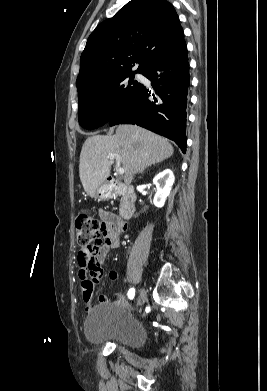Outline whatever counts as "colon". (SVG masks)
<instances>
[{"instance_id": "5ec220e1", "label": "colon", "mask_w": 267, "mask_h": 391, "mask_svg": "<svg viewBox=\"0 0 267 391\" xmlns=\"http://www.w3.org/2000/svg\"><path fill=\"white\" fill-rule=\"evenodd\" d=\"M76 239L82 254H97L104 241L101 239L103 223L91 212L82 210L75 219Z\"/></svg>"}]
</instances>
